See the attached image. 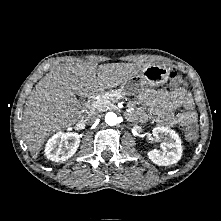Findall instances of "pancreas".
<instances>
[{"mask_svg":"<svg viewBox=\"0 0 221 221\" xmlns=\"http://www.w3.org/2000/svg\"><path fill=\"white\" fill-rule=\"evenodd\" d=\"M124 95L125 93L122 90H112L105 92L101 94L100 98L94 102L93 106L90 109V112L95 113V110L97 112L112 110L116 107V101L120 98H123Z\"/></svg>","mask_w":221,"mask_h":221,"instance_id":"cf45deb5","label":"pancreas"}]
</instances>
